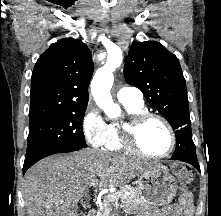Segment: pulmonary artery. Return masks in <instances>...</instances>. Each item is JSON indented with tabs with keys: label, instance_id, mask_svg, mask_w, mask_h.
Instances as JSON below:
<instances>
[{
	"label": "pulmonary artery",
	"instance_id": "pulmonary-artery-1",
	"mask_svg": "<svg viewBox=\"0 0 221 216\" xmlns=\"http://www.w3.org/2000/svg\"><path fill=\"white\" fill-rule=\"evenodd\" d=\"M117 99L120 102H143L142 92L130 86H123L117 91Z\"/></svg>",
	"mask_w": 221,
	"mask_h": 216
}]
</instances>
